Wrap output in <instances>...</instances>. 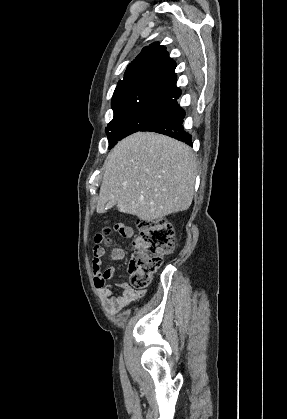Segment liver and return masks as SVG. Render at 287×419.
<instances>
[{"label": "liver", "instance_id": "liver-1", "mask_svg": "<svg viewBox=\"0 0 287 419\" xmlns=\"http://www.w3.org/2000/svg\"><path fill=\"white\" fill-rule=\"evenodd\" d=\"M197 162L191 148L161 134L137 132L121 140L104 163L97 213L118 211L146 221L187 210Z\"/></svg>", "mask_w": 287, "mask_h": 419}]
</instances>
